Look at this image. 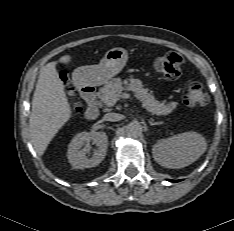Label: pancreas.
I'll use <instances>...</instances> for the list:
<instances>
[{"mask_svg":"<svg viewBox=\"0 0 234 231\" xmlns=\"http://www.w3.org/2000/svg\"><path fill=\"white\" fill-rule=\"evenodd\" d=\"M124 89L133 91L135 97L142 102V106L152 114L168 115L178 104L177 102L165 104L164 102L161 103L157 101L152 93H149L148 89L143 87L139 79H134L132 77L124 82H122L121 78L112 79L100 89L98 96L103 103H105L107 99L118 100Z\"/></svg>","mask_w":234,"mask_h":231,"instance_id":"obj_1","label":"pancreas"}]
</instances>
